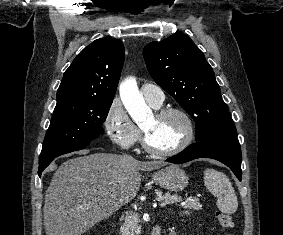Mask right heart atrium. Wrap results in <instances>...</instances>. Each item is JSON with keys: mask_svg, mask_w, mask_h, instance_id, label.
<instances>
[{"mask_svg": "<svg viewBox=\"0 0 283 235\" xmlns=\"http://www.w3.org/2000/svg\"><path fill=\"white\" fill-rule=\"evenodd\" d=\"M104 127L111 140L122 148L134 146L140 138L139 128L132 122L119 98L111 101Z\"/></svg>", "mask_w": 283, "mask_h": 235, "instance_id": "1", "label": "right heart atrium"}]
</instances>
